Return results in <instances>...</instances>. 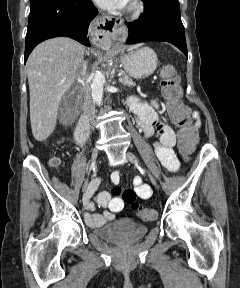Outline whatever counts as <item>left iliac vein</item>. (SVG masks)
I'll return each mask as SVG.
<instances>
[{"mask_svg":"<svg viewBox=\"0 0 240 288\" xmlns=\"http://www.w3.org/2000/svg\"><path fill=\"white\" fill-rule=\"evenodd\" d=\"M126 158H127L130 162H132V163H134V164H137V165H140V164H141L140 161L138 160V158H137L133 153H131V152H127V153H126ZM143 170L148 174V176H149L152 184L157 187L156 180H155V178L152 176V174H151L145 167H143Z\"/></svg>","mask_w":240,"mask_h":288,"instance_id":"4c4485c4","label":"left iliac vein"}]
</instances>
